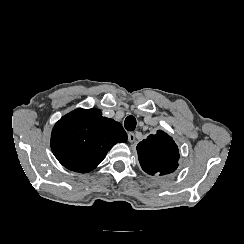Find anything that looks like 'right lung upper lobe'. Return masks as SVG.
Here are the masks:
<instances>
[{
    "instance_id": "obj_1",
    "label": "right lung upper lobe",
    "mask_w": 244,
    "mask_h": 244,
    "mask_svg": "<svg viewBox=\"0 0 244 244\" xmlns=\"http://www.w3.org/2000/svg\"><path fill=\"white\" fill-rule=\"evenodd\" d=\"M127 133L119 122L102 116L98 109H76L63 116L51 134V148L67 169L87 173L98 166Z\"/></svg>"
}]
</instances>
